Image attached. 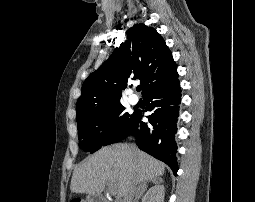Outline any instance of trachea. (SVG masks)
I'll list each match as a JSON object with an SVG mask.
<instances>
[{
  "label": "trachea",
  "mask_w": 255,
  "mask_h": 202,
  "mask_svg": "<svg viewBox=\"0 0 255 202\" xmlns=\"http://www.w3.org/2000/svg\"><path fill=\"white\" fill-rule=\"evenodd\" d=\"M136 90H137V91H141V86H138V87L136 88Z\"/></svg>",
  "instance_id": "trachea-1"
}]
</instances>
